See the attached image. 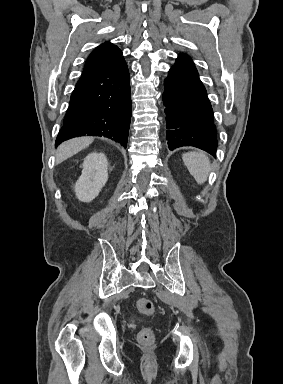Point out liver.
<instances>
[{"mask_svg": "<svg viewBox=\"0 0 283 384\" xmlns=\"http://www.w3.org/2000/svg\"><path fill=\"white\" fill-rule=\"evenodd\" d=\"M93 140L94 138L86 136V138H73V140L63 142V144H60L59 148H57L56 164H61V162H64L67 158H71L74 154L85 150V148H88V146L92 144Z\"/></svg>", "mask_w": 283, "mask_h": 384, "instance_id": "liver-1", "label": "liver"}]
</instances>
